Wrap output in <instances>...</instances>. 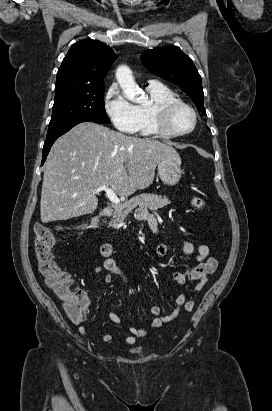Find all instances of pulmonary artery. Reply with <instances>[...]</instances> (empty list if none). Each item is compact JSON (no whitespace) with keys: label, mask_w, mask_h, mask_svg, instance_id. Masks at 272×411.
<instances>
[{"label":"pulmonary artery","mask_w":272,"mask_h":411,"mask_svg":"<svg viewBox=\"0 0 272 411\" xmlns=\"http://www.w3.org/2000/svg\"><path fill=\"white\" fill-rule=\"evenodd\" d=\"M147 83H148V84H154V83H157V82L154 81V80H149Z\"/></svg>","instance_id":"1"}]
</instances>
